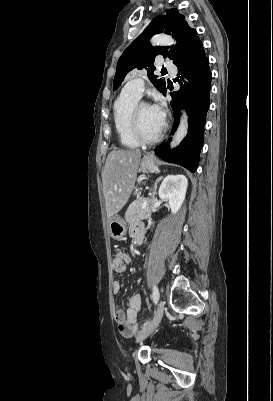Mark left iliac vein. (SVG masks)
<instances>
[{"label":"left iliac vein","instance_id":"obj_1","mask_svg":"<svg viewBox=\"0 0 273 401\" xmlns=\"http://www.w3.org/2000/svg\"><path fill=\"white\" fill-rule=\"evenodd\" d=\"M164 313V301L160 300L156 309V313L149 324H147L136 336L137 341H143L152 334L159 326Z\"/></svg>","mask_w":273,"mask_h":401}]
</instances>
